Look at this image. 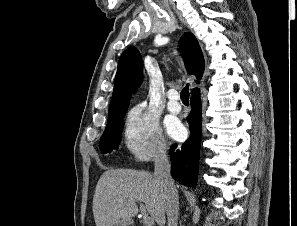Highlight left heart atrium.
I'll use <instances>...</instances> for the list:
<instances>
[{"instance_id": "1", "label": "left heart atrium", "mask_w": 297, "mask_h": 226, "mask_svg": "<svg viewBox=\"0 0 297 226\" xmlns=\"http://www.w3.org/2000/svg\"><path fill=\"white\" fill-rule=\"evenodd\" d=\"M167 129L169 134L177 140H181L185 136V129L182 124L176 119H170L167 122Z\"/></svg>"}]
</instances>
